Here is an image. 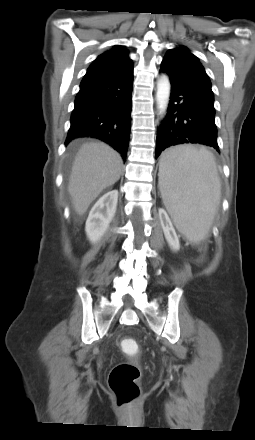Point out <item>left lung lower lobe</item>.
<instances>
[{
	"label": "left lung lower lobe",
	"mask_w": 255,
	"mask_h": 440,
	"mask_svg": "<svg viewBox=\"0 0 255 440\" xmlns=\"http://www.w3.org/2000/svg\"><path fill=\"white\" fill-rule=\"evenodd\" d=\"M160 71L165 72L163 68ZM170 82V102L157 132L155 157L170 146L184 143H199L220 152L213 102L192 94L171 79Z\"/></svg>",
	"instance_id": "0a47b994"
}]
</instances>
